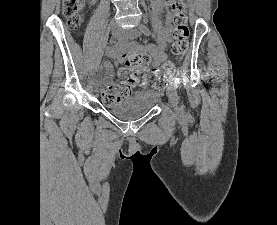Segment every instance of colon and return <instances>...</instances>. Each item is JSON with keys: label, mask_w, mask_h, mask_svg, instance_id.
<instances>
[{"label": "colon", "mask_w": 277, "mask_h": 225, "mask_svg": "<svg viewBox=\"0 0 277 225\" xmlns=\"http://www.w3.org/2000/svg\"><path fill=\"white\" fill-rule=\"evenodd\" d=\"M187 0H173L172 23L174 25L170 47L176 61H180L188 50L189 29L187 16L184 10ZM84 0H62L63 15L72 28H77L82 21V9ZM151 57L147 53H127L122 56L123 66L119 69L118 79L101 92L106 104H113L131 96L134 88L139 84L142 74L151 65ZM176 73L172 62L163 65L162 70H152L151 84L162 88L167 80Z\"/></svg>", "instance_id": "obj_1"}]
</instances>
